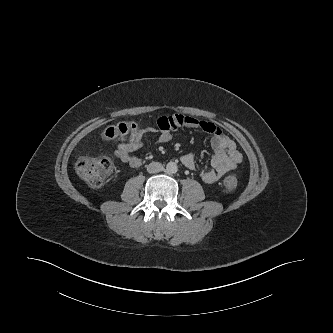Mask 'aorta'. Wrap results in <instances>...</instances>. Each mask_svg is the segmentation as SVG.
<instances>
[{"label": "aorta", "mask_w": 333, "mask_h": 333, "mask_svg": "<svg viewBox=\"0 0 333 333\" xmlns=\"http://www.w3.org/2000/svg\"><path fill=\"white\" fill-rule=\"evenodd\" d=\"M178 171V166L174 162H169L166 166V172L168 174H175Z\"/></svg>", "instance_id": "aorta-1"}]
</instances>
